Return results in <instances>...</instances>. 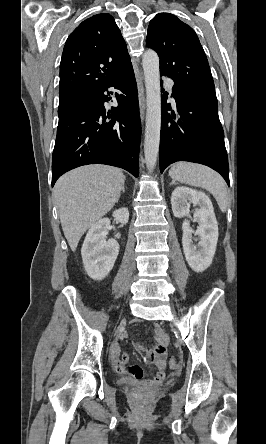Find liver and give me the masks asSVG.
I'll return each instance as SVG.
<instances>
[{"label": "liver", "mask_w": 266, "mask_h": 444, "mask_svg": "<svg viewBox=\"0 0 266 444\" xmlns=\"http://www.w3.org/2000/svg\"><path fill=\"white\" fill-rule=\"evenodd\" d=\"M125 175L115 167L87 165L61 176L54 187L64 235L75 251L82 235L118 201Z\"/></svg>", "instance_id": "1"}]
</instances>
